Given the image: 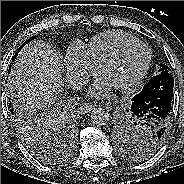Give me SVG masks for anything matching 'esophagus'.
Returning a JSON list of instances; mask_svg holds the SVG:
<instances>
[{"label":"esophagus","mask_w":184,"mask_h":184,"mask_svg":"<svg viewBox=\"0 0 184 184\" xmlns=\"http://www.w3.org/2000/svg\"><path fill=\"white\" fill-rule=\"evenodd\" d=\"M94 107L95 105L93 104L85 103L80 107V110L83 113H87V112H90Z\"/></svg>","instance_id":"obj_1"}]
</instances>
